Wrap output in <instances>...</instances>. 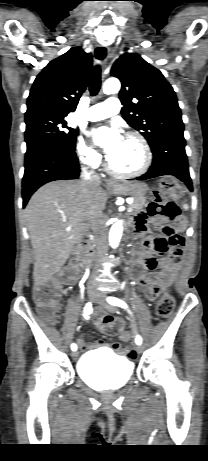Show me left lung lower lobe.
Returning a JSON list of instances; mask_svg holds the SVG:
<instances>
[{"mask_svg":"<svg viewBox=\"0 0 208 461\" xmlns=\"http://www.w3.org/2000/svg\"><path fill=\"white\" fill-rule=\"evenodd\" d=\"M152 152L153 163L151 167L146 174L137 177V180L173 175L183 181L190 191L193 190L185 153V139L171 138L165 140Z\"/></svg>","mask_w":208,"mask_h":461,"instance_id":"left-lung-lower-lobe-1","label":"left lung lower lobe"}]
</instances>
